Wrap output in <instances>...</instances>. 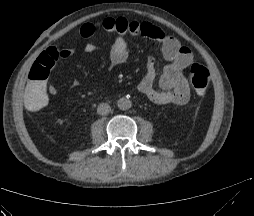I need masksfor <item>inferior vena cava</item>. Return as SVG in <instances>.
Segmentation results:
<instances>
[{
	"instance_id": "inferior-vena-cava-1",
	"label": "inferior vena cava",
	"mask_w": 254,
	"mask_h": 216,
	"mask_svg": "<svg viewBox=\"0 0 254 216\" xmlns=\"http://www.w3.org/2000/svg\"><path fill=\"white\" fill-rule=\"evenodd\" d=\"M110 110H111V107L107 103H101L97 107V113L99 115H107L110 112Z\"/></svg>"
}]
</instances>
